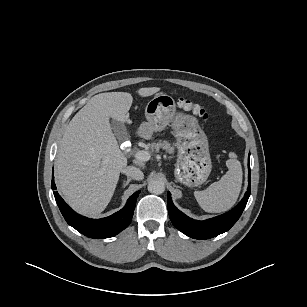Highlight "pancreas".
<instances>
[{
  "label": "pancreas",
  "instance_id": "obj_1",
  "mask_svg": "<svg viewBox=\"0 0 307 307\" xmlns=\"http://www.w3.org/2000/svg\"><path fill=\"white\" fill-rule=\"evenodd\" d=\"M151 149L154 152H158L160 149H163L166 152H168L169 154L174 153V147L168 141H159L157 143H153L151 145Z\"/></svg>",
  "mask_w": 307,
  "mask_h": 307
}]
</instances>
